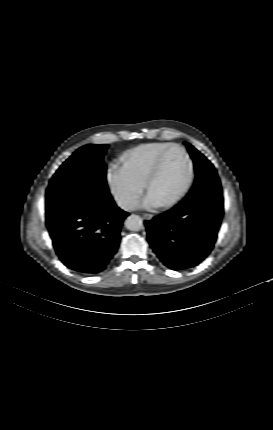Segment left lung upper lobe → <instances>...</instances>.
Masks as SVG:
<instances>
[{"instance_id":"left-lung-upper-lobe-1","label":"left lung upper lobe","mask_w":273,"mask_h":430,"mask_svg":"<svg viewBox=\"0 0 273 430\" xmlns=\"http://www.w3.org/2000/svg\"><path fill=\"white\" fill-rule=\"evenodd\" d=\"M190 155L194 161L195 169H196V182L193 188L200 186L204 180L206 179H218L217 172L214 166L201 154L197 151L191 144L185 143Z\"/></svg>"}]
</instances>
